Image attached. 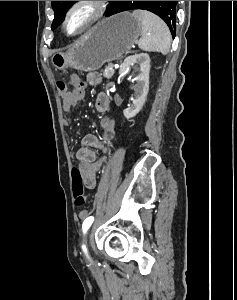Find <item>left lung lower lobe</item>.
I'll return each instance as SVG.
<instances>
[{
	"instance_id": "1",
	"label": "left lung lower lobe",
	"mask_w": 237,
	"mask_h": 300,
	"mask_svg": "<svg viewBox=\"0 0 237 300\" xmlns=\"http://www.w3.org/2000/svg\"><path fill=\"white\" fill-rule=\"evenodd\" d=\"M115 7H116V5L111 9L110 13L107 14L106 16H111V15H113V14H116L117 12L114 11ZM172 36H173V38H174V37H175V34H173Z\"/></svg>"
}]
</instances>
